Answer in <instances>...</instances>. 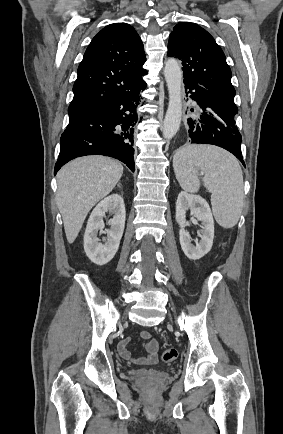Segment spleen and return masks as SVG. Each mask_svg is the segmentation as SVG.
<instances>
[{"label": "spleen", "mask_w": 283, "mask_h": 434, "mask_svg": "<svg viewBox=\"0 0 283 434\" xmlns=\"http://www.w3.org/2000/svg\"><path fill=\"white\" fill-rule=\"evenodd\" d=\"M173 168L181 188L191 193L200 187L199 172L204 175L217 223L223 228L237 224L243 207V174L232 154L211 145H188L174 155Z\"/></svg>", "instance_id": "spleen-1"}]
</instances>
